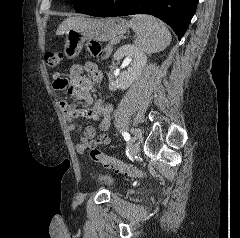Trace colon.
<instances>
[{
  "instance_id": "obj_1",
  "label": "colon",
  "mask_w": 240,
  "mask_h": 238,
  "mask_svg": "<svg viewBox=\"0 0 240 238\" xmlns=\"http://www.w3.org/2000/svg\"><path fill=\"white\" fill-rule=\"evenodd\" d=\"M86 47L88 51L94 56H99L102 52L100 43L95 40L88 41ZM61 59L62 54L60 52H48L44 56V61L49 67L58 65ZM90 158L93 161L102 164L108 169L114 170L115 172L122 173L127 176L140 177L143 175L142 170H140L138 167L105 155L96 148L90 151Z\"/></svg>"
}]
</instances>
